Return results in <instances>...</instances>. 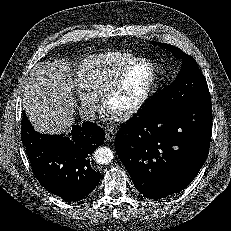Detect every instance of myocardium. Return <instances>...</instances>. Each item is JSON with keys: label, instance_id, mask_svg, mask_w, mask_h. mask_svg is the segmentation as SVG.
I'll use <instances>...</instances> for the list:
<instances>
[{"label": "myocardium", "instance_id": "obj_1", "mask_svg": "<svg viewBox=\"0 0 231 231\" xmlns=\"http://www.w3.org/2000/svg\"><path fill=\"white\" fill-rule=\"evenodd\" d=\"M141 65H148L151 69V80L147 88L141 94V96L128 107L120 110H112L110 107L111 98L122 88L125 80L130 75V73ZM157 79V70L152 61L146 58H140L136 60L128 67H126L117 77L110 81L102 91L100 97L103 111L110 117L117 120H124L132 117L144 107V105L153 94L157 85Z\"/></svg>", "mask_w": 231, "mask_h": 231}]
</instances>
